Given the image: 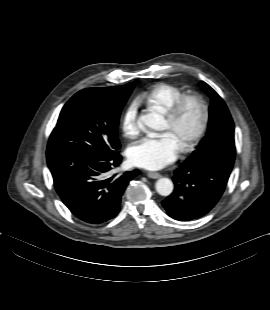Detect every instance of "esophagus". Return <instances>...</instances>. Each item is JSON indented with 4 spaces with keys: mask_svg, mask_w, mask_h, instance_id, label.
<instances>
[{
    "mask_svg": "<svg viewBox=\"0 0 270 310\" xmlns=\"http://www.w3.org/2000/svg\"><path fill=\"white\" fill-rule=\"evenodd\" d=\"M147 176L149 178H152V179H157L159 178L161 175L157 172H147Z\"/></svg>",
    "mask_w": 270,
    "mask_h": 310,
    "instance_id": "esophagus-1",
    "label": "esophagus"
}]
</instances>
